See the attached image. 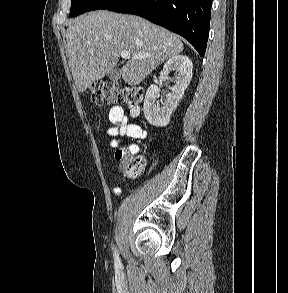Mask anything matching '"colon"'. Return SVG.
Segmentation results:
<instances>
[{
    "label": "colon",
    "mask_w": 288,
    "mask_h": 293,
    "mask_svg": "<svg viewBox=\"0 0 288 293\" xmlns=\"http://www.w3.org/2000/svg\"><path fill=\"white\" fill-rule=\"evenodd\" d=\"M90 96L96 104H108L122 102L131 115H137L143 100L144 92L140 87L121 86L115 83L96 82L90 87ZM118 161H123L121 171L129 176L139 174L144 167V159L141 156H133L129 150L118 148L115 152Z\"/></svg>",
    "instance_id": "5ec220e1"
}]
</instances>
